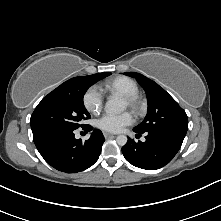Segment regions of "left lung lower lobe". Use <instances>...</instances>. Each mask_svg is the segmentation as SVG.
<instances>
[{
  "mask_svg": "<svg viewBox=\"0 0 221 221\" xmlns=\"http://www.w3.org/2000/svg\"><path fill=\"white\" fill-rule=\"evenodd\" d=\"M145 134V142H135L129 138L122 153L130 164L146 170L159 169L168 164L179 151L186 135L177 131Z\"/></svg>",
  "mask_w": 221,
  "mask_h": 221,
  "instance_id": "0a47b994",
  "label": "left lung lower lobe"
}]
</instances>
